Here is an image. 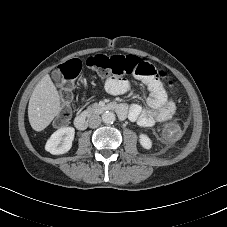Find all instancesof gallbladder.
Segmentation results:
<instances>
[{
	"instance_id": "bac80fb5",
	"label": "gallbladder",
	"mask_w": 227,
	"mask_h": 227,
	"mask_svg": "<svg viewBox=\"0 0 227 227\" xmlns=\"http://www.w3.org/2000/svg\"><path fill=\"white\" fill-rule=\"evenodd\" d=\"M52 78H53L54 80H56V81L62 80V74H61V72H60L59 70H54V71L52 72Z\"/></svg>"
}]
</instances>
